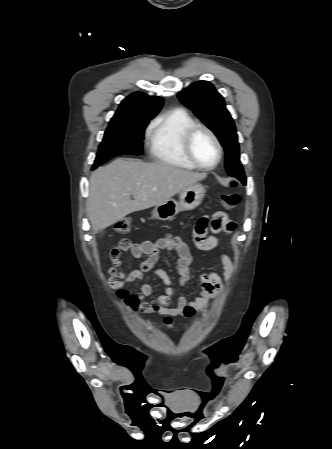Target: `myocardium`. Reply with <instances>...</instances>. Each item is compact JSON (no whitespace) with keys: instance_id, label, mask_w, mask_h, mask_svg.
Segmentation results:
<instances>
[{"instance_id":"1","label":"myocardium","mask_w":332,"mask_h":449,"mask_svg":"<svg viewBox=\"0 0 332 449\" xmlns=\"http://www.w3.org/2000/svg\"><path fill=\"white\" fill-rule=\"evenodd\" d=\"M200 130L206 132L211 137V139L213 140V142L215 143V146L217 148V158L213 164L208 165V166L202 165L201 163H199L198 160L195 158L193 151H192V139H193L194 135L196 134V132H198ZM182 149H183V152H184L186 158L189 160V162L192 163L196 168H199L201 170L214 169L221 162V159L223 156V148H222L221 142H220L219 138L217 137V135L208 126L200 124V123H195L194 125H192L185 131L183 138H182Z\"/></svg>"}]
</instances>
